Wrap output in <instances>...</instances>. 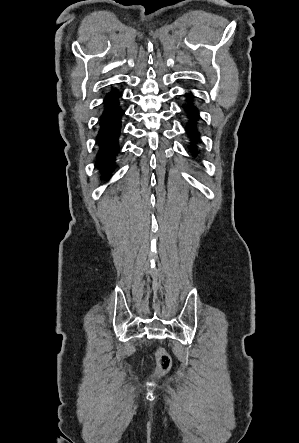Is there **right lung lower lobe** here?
<instances>
[{"label": "right lung lower lobe", "mask_w": 299, "mask_h": 443, "mask_svg": "<svg viewBox=\"0 0 299 443\" xmlns=\"http://www.w3.org/2000/svg\"><path fill=\"white\" fill-rule=\"evenodd\" d=\"M121 97L116 89H112L104 100L105 109L100 118L98 135V154L96 167L101 179L106 181L115 169V155L118 151L117 139L120 134V123L123 110L118 106Z\"/></svg>", "instance_id": "right-lung-lower-lobe-1"}]
</instances>
